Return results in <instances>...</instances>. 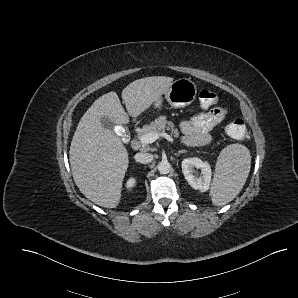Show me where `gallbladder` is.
I'll return each instance as SVG.
<instances>
[{"label": "gallbladder", "mask_w": 298, "mask_h": 298, "mask_svg": "<svg viewBox=\"0 0 298 298\" xmlns=\"http://www.w3.org/2000/svg\"><path fill=\"white\" fill-rule=\"evenodd\" d=\"M99 122L105 129L113 130L115 127V122L106 115L101 116Z\"/></svg>", "instance_id": "1"}]
</instances>
